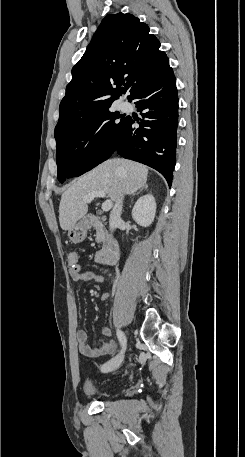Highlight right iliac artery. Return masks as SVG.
<instances>
[{"mask_svg":"<svg viewBox=\"0 0 245 457\" xmlns=\"http://www.w3.org/2000/svg\"><path fill=\"white\" fill-rule=\"evenodd\" d=\"M116 335H117V338H118L122 348L125 349L127 340H126V336H125L124 332H122L121 330H117Z\"/></svg>","mask_w":245,"mask_h":457,"instance_id":"1","label":"right iliac artery"}]
</instances>
